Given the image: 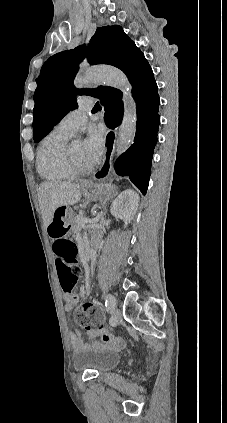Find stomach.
<instances>
[{
  "mask_svg": "<svg viewBox=\"0 0 227 423\" xmlns=\"http://www.w3.org/2000/svg\"><path fill=\"white\" fill-rule=\"evenodd\" d=\"M82 194L85 200H102L114 194L115 188L111 184H93V182H86L81 184Z\"/></svg>",
  "mask_w": 227,
  "mask_h": 423,
  "instance_id": "1",
  "label": "stomach"
}]
</instances>
